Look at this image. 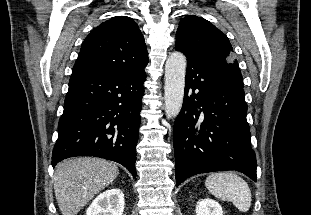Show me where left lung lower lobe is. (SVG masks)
<instances>
[{
    "label": "left lung lower lobe",
    "instance_id": "1",
    "mask_svg": "<svg viewBox=\"0 0 311 215\" xmlns=\"http://www.w3.org/2000/svg\"><path fill=\"white\" fill-rule=\"evenodd\" d=\"M186 57L183 107L173 129L176 186L190 176L224 170L242 172L256 182L243 88Z\"/></svg>",
    "mask_w": 311,
    "mask_h": 215
}]
</instances>
